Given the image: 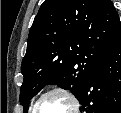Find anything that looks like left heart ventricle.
Listing matches in <instances>:
<instances>
[{
    "label": "left heart ventricle",
    "instance_id": "obj_1",
    "mask_svg": "<svg viewBox=\"0 0 121 113\" xmlns=\"http://www.w3.org/2000/svg\"><path fill=\"white\" fill-rule=\"evenodd\" d=\"M69 110H71V104L61 94L47 96L39 105V113H61Z\"/></svg>",
    "mask_w": 121,
    "mask_h": 113
}]
</instances>
